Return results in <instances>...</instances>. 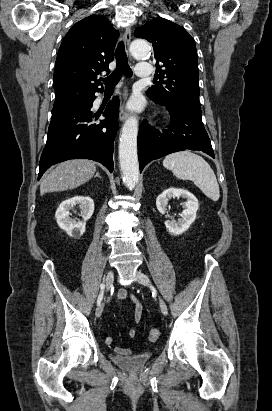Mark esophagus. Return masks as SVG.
I'll list each match as a JSON object with an SVG mask.
<instances>
[{"instance_id":"1","label":"esophagus","mask_w":272,"mask_h":411,"mask_svg":"<svg viewBox=\"0 0 272 411\" xmlns=\"http://www.w3.org/2000/svg\"><path fill=\"white\" fill-rule=\"evenodd\" d=\"M124 40H125L126 46H127V48H128V46H129V44H130V41H131V29H130V27H127V28L125 29V32H124ZM130 60H131V59H130ZM127 117H128V112H127L123 107H121V109H120V114H119L120 120H121V121H124V120L127 119Z\"/></svg>"}]
</instances>
